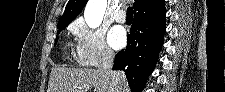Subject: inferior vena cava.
<instances>
[{"label":"inferior vena cava","instance_id":"inferior-vena-cava-1","mask_svg":"<svg viewBox=\"0 0 225 92\" xmlns=\"http://www.w3.org/2000/svg\"><path fill=\"white\" fill-rule=\"evenodd\" d=\"M114 54L112 51L105 49L102 52V58L98 69L106 73L110 78L111 92H119L117 73L112 70Z\"/></svg>","mask_w":225,"mask_h":92}]
</instances>
